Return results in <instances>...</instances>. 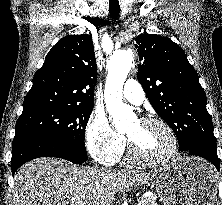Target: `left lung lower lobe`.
Here are the masks:
<instances>
[{
    "instance_id": "1",
    "label": "left lung lower lobe",
    "mask_w": 222,
    "mask_h": 205,
    "mask_svg": "<svg viewBox=\"0 0 222 205\" xmlns=\"http://www.w3.org/2000/svg\"><path fill=\"white\" fill-rule=\"evenodd\" d=\"M184 152L188 155L198 156V157L206 159L207 161L211 162L219 171L220 164H219V159H218L216 151L207 150L201 147H194Z\"/></svg>"
}]
</instances>
